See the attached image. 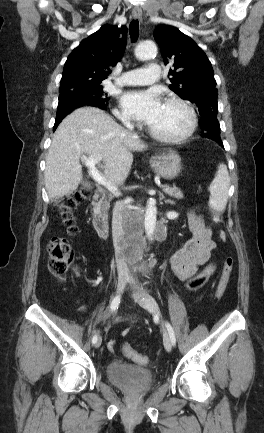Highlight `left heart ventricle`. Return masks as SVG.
Returning <instances> with one entry per match:
<instances>
[{
  "label": "left heart ventricle",
  "instance_id": "b2bd125f",
  "mask_svg": "<svg viewBox=\"0 0 264 433\" xmlns=\"http://www.w3.org/2000/svg\"><path fill=\"white\" fill-rule=\"evenodd\" d=\"M188 124L189 115L182 107L163 103L160 113L149 126L160 134L176 136L183 133Z\"/></svg>",
  "mask_w": 264,
  "mask_h": 433
}]
</instances>
